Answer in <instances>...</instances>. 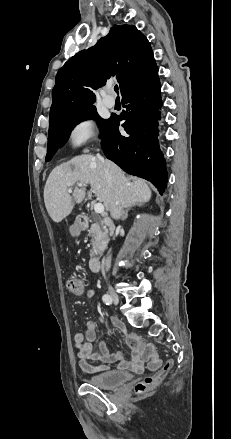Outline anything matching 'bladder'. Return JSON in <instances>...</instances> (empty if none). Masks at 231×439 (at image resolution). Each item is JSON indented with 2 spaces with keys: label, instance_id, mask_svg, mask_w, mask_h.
I'll use <instances>...</instances> for the list:
<instances>
[{
  "label": "bladder",
  "instance_id": "obj_1",
  "mask_svg": "<svg viewBox=\"0 0 231 439\" xmlns=\"http://www.w3.org/2000/svg\"><path fill=\"white\" fill-rule=\"evenodd\" d=\"M131 378V373L112 370L89 375L86 381L101 389H114L125 384Z\"/></svg>",
  "mask_w": 231,
  "mask_h": 439
}]
</instances>
